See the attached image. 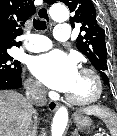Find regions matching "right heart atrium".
Instances as JSON below:
<instances>
[{
    "label": "right heart atrium",
    "instance_id": "obj_1",
    "mask_svg": "<svg viewBox=\"0 0 117 136\" xmlns=\"http://www.w3.org/2000/svg\"><path fill=\"white\" fill-rule=\"evenodd\" d=\"M26 90L30 96L41 97L43 95V88L39 82L30 78L26 81Z\"/></svg>",
    "mask_w": 117,
    "mask_h": 136
}]
</instances>
